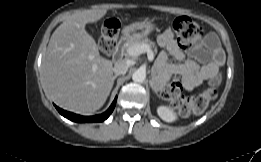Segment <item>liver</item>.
<instances>
[{
	"label": "liver",
	"instance_id": "1",
	"mask_svg": "<svg viewBox=\"0 0 261 162\" xmlns=\"http://www.w3.org/2000/svg\"><path fill=\"white\" fill-rule=\"evenodd\" d=\"M107 13V8L84 10L65 20L52 34L43 59L47 95L61 108L88 114L100 109L112 89V61L99 55L85 30Z\"/></svg>",
	"mask_w": 261,
	"mask_h": 162
}]
</instances>
